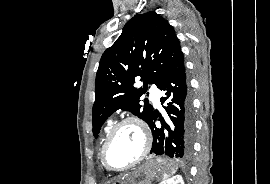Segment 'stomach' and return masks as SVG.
Instances as JSON below:
<instances>
[{
	"mask_svg": "<svg viewBox=\"0 0 270 184\" xmlns=\"http://www.w3.org/2000/svg\"><path fill=\"white\" fill-rule=\"evenodd\" d=\"M176 169V164L171 160H148L114 184H151L154 179L170 176L176 172Z\"/></svg>",
	"mask_w": 270,
	"mask_h": 184,
	"instance_id": "1",
	"label": "stomach"
}]
</instances>
